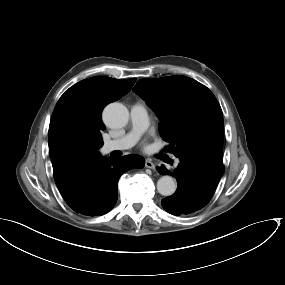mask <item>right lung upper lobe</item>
Segmentation results:
<instances>
[{"label":"right lung upper lobe","instance_id":"right-lung-upper-lobe-1","mask_svg":"<svg viewBox=\"0 0 285 285\" xmlns=\"http://www.w3.org/2000/svg\"><path fill=\"white\" fill-rule=\"evenodd\" d=\"M136 80V78L117 80L103 76L82 80L70 87L61 96L55 106L52 117L64 111H77L87 119L100 121L104 125L101 119L104 107L127 94ZM48 143L57 186L89 163L73 161L63 155L49 138Z\"/></svg>","mask_w":285,"mask_h":285}]
</instances>
